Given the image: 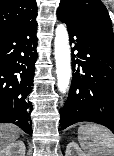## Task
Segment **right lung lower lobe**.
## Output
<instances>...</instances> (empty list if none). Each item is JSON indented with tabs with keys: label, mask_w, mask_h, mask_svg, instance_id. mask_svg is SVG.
Segmentation results:
<instances>
[{
	"label": "right lung lower lobe",
	"mask_w": 114,
	"mask_h": 156,
	"mask_svg": "<svg viewBox=\"0 0 114 156\" xmlns=\"http://www.w3.org/2000/svg\"><path fill=\"white\" fill-rule=\"evenodd\" d=\"M35 18L0 34V123L10 122L32 135L28 99L37 60Z\"/></svg>",
	"instance_id": "obj_1"
}]
</instances>
